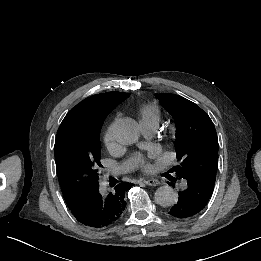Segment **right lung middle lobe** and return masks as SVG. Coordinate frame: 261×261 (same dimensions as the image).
<instances>
[{
    "mask_svg": "<svg viewBox=\"0 0 261 261\" xmlns=\"http://www.w3.org/2000/svg\"><path fill=\"white\" fill-rule=\"evenodd\" d=\"M102 123L70 116L62 121L55 141L58 179L66 202L98 183Z\"/></svg>",
    "mask_w": 261,
    "mask_h": 261,
    "instance_id": "dd1d6c3e",
    "label": "right lung middle lobe"
}]
</instances>
